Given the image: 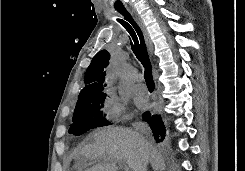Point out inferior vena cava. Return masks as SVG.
Listing matches in <instances>:
<instances>
[{
    "label": "inferior vena cava",
    "mask_w": 245,
    "mask_h": 171,
    "mask_svg": "<svg viewBox=\"0 0 245 171\" xmlns=\"http://www.w3.org/2000/svg\"><path fill=\"white\" fill-rule=\"evenodd\" d=\"M136 130H139L141 133L148 135L149 134V128L143 124H137ZM141 171H147V164H144Z\"/></svg>",
    "instance_id": "1"
}]
</instances>
